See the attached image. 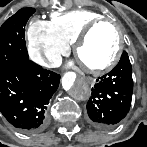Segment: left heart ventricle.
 <instances>
[{"label":"left heart ventricle","mask_w":147,"mask_h":147,"mask_svg":"<svg viewBox=\"0 0 147 147\" xmlns=\"http://www.w3.org/2000/svg\"><path fill=\"white\" fill-rule=\"evenodd\" d=\"M117 41V32L113 27H98L80 49L79 60L91 66L102 65L112 57Z\"/></svg>","instance_id":"1"}]
</instances>
